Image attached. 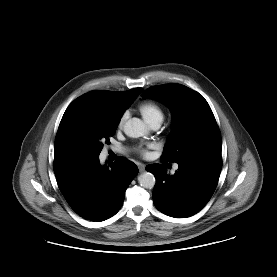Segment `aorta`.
Wrapping results in <instances>:
<instances>
[{"label":"aorta","instance_id":"1","mask_svg":"<svg viewBox=\"0 0 277 277\" xmlns=\"http://www.w3.org/2000/svg\"><path fill=\"white\" fill-rule=\"evenodd\" d=\"M147 127L139 118L129 119L124 125V133L132 138L144 136L147 133ZM138 182L141 187L152 189L155 186V177L150 172H144L138 177Z\"/></svg>","mask_w":277,"mask_h":277}]
</instances>
